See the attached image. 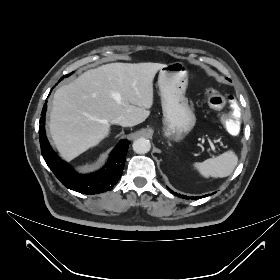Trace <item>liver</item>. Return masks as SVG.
Wrapping results in <instances>:
<instances>
[{
	"label": "liver",
	"instance_id": "1",
	"mask_svg": "<svg viewBox=\"0 0 280 280\" xmlns=\"http://www.w3.org/2000/svg\"><path fill=\"white\" fill-rule=\"evenodd\" d=\"M165 64L110 63L88 70L56 90L49 129L60 154L72 160L110 134L123 116L130 127L145 121L153 105V80Z\"/></svg>",
	"mask_w": 280,
	"mask_h": 280
}]
</instances>
